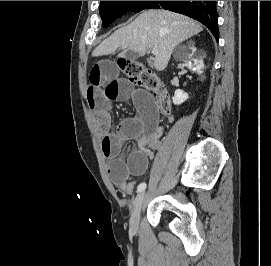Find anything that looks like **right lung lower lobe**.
Instances as JSON below:
<instances>
[{"label":"right lung lower lobe","mask_w":271,"mask_h":266,"mask_svg":"<svg viewBox=\"0 0 271 266\" xmlns=\"http://www.w3.org/2000/svg\"><path fill=\"white\" fill-rule=\"evenodd\" d=\"M168 9L187 15L204 24L219 39L216 1H155L150 8Z\"/></svg>","instance_id":"obj_1"}]
</instances>
